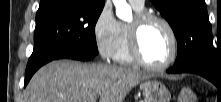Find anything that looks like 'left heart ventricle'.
Masks as SVG:
<instances>
[{"label":"left heart ventricle","mask_w":221,"mask_h":102,"mask_svg":"<svg viewBox=\"0 0 221 102\" xmlns=\"http://www.w3.org/2000/svg\"><path fill=\"white\" fill-rule=\"evenodd\" d=\"M141 49L152 64L166 62L172 52V41L167 29L158 22L147 24L140 35Z\"/></svg>","instance_id":"obj_1"}]
</instances>
